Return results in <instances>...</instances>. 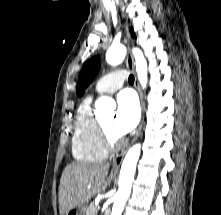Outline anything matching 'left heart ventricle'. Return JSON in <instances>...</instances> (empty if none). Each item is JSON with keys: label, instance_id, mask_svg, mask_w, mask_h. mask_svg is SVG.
<instances>
[{"label": "left heart ventricle", "instance_id": "1", "mask_svg": "<svg viewBox=\"0 0 221 215\" xmlns=\"http://www.w3.org/2000/svg\"><path fill=\"white\" fill-rule=\"evenodd\" d=\"M101 123L108 128L110 131H112V119L111 118H107L101 121ZM113 132V131H112Z\"/></svg>", "mask_w": 221, "mask_h": 215}]
</instances>
